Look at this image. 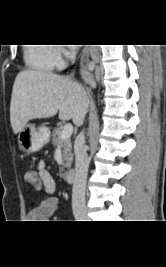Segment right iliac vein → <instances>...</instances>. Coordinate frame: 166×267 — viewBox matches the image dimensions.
<instances>
[{
  "label": "right iliac vein",
  "instance_id": "1",
  "mask_svg": "<svg viewBox=\"0 0 166 267\" xmlns=\"http://www.w3.org/2000/svg\"><path fill=\"white\" fill-rule=\"evenodd\" d=\"M74 216L77 220H88L87 213L84 210L75 211Z\"/></svg>",
  "mask_w": 166,
  "mask_h": 267
}]
</instances>
